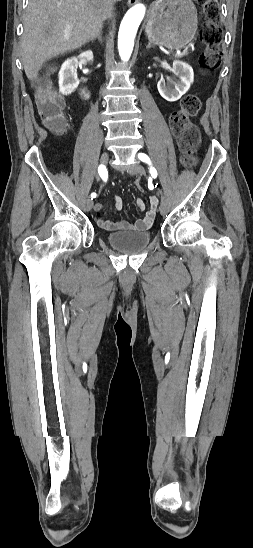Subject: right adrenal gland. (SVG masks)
<instances>
[{
	"instance_id": "1",
	"label": "right adrenal gland",
	"mask_w": 253,
	"mask_h": 548,
	"mask_svg": "<svg viewBox=\"0 0 253 548\" xmlns=\"http://www.w3.org/2000/svg\"><path fill=\"white\" fill-rule=\"evenodd\" d=\"M101 34H102V30H100L99 33L97 34V36H95L94 38H92L90 41L93 42L94 40L98 39L99 42L102 43V36H101Z\"/></svg>"
}]
</instances>
